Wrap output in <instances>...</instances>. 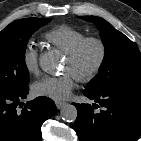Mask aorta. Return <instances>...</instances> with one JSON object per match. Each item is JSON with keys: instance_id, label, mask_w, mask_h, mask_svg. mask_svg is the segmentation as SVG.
Listing matches in <instances>:
<instances>
[{"instance_id": "1", "label": "aorta", "mask_w": 141, "mask_h": 141, "mask_svg": "<svg viewBox=\"0 0 141 141\" xmlns=\"http://www.w3.org/2000/svg\"><path fill=\"white\" fill-rule=\"evenodd\" d=\"M40 67L47 73L57 71V59L52 53H46L40 57ZM61 118L67 122H73L77 118V109L74 105L66 104L60 111Z\"/></svg>"}]
</instances>
